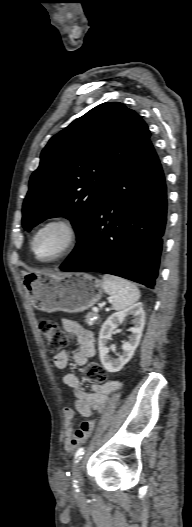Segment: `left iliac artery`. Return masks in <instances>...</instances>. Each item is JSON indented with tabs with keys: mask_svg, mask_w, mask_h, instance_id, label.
<instances>
[{
	"mask_svg": "<svg viewBox=\"0 0 192 527\" xmlns=\"http://www.w3.org/2000/svg\"><path fill=\"white\" fill-rule=\"evenodd\" d=\"M83 454H84V448L81 447V448H79V449L76 451V453H75V460L80 459V458L82 457ZM73 482H74V487H78L77 484H76L77 481L74 480Z\"/></svg>",
	"mask_w": 192,
	"mask_h": 527,
	"instance_id": "obj_1",
	"label": "left iliac artery"
}]
</instances>
